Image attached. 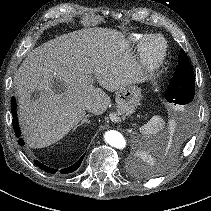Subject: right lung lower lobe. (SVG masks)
<instances>
[{"label":"right lung lower lobe","mask_w":211,"mask_h":211,"mask_svg":"<svg viewBox=\"0 0 211 211\" xmlns=\"http://www.w3.org/2000/svg\"><path fill=\"white\" fill-rule=\"evenodd\" d=\"M11 112H12V115H13L12 123H13V126H14V131H15L17 138H19L21 133H20L19 125H18L17 112H16V100H15L14 97H12V99H11ZM18 144L20 146H23L24 143H23L22 138H19ZM84 156H85V154L72 166L61 169V173L62 174H68V173L75 171L81 165L82 160L84 159ZM34 162L39 168H41L42 170H44L46 172L55 173L57 171V169L49 168V167L41 164L37 160H35Z\"/></svg>","instance_id":"obj_1"}]
</instances>
